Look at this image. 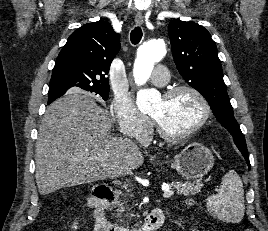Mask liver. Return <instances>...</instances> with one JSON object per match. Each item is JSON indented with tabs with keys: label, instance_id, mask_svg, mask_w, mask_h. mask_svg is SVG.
<instances>
[{
	"label": "liver",
	"instance_id": "obj_1",
	"mask_svg": "<svg viewBox=\"0 0 268 231\" xmlns=\"http://www.w3.org/2000/svg\"><path fill=\"white\" fill-rule=\"evenodd\" d=\"M111 126L109 112L83 91H72L50 104L35 149L40 194L125 176L141 166L144 157L138 146L112 137Z\"/></svg>",
	"mask_w": 268,
	"mask_h": 231
}]
</instances>
